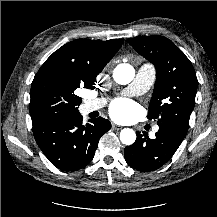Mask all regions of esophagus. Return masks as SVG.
<instances>
[{"label": "esophagus", "instance_id": "1", "mask_svg": "<svg viewBox=\"0 0 217 217\" xmlns=\"http://www.w3.org/2000/svg\"><path fill=\"white\" fill-rule=\"evenodd\" d=\"M122 127L121 126H118V125H116V124H112V129L113 130H120Z\"/></svg>", "mask_w": 217, "mask_h": 217}]
</instances>
